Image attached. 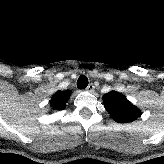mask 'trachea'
Returning <instances> with one entry per match:
<instances>
[{
	"mask_svg": "<svg viewBox=\"0 0 164 164\" xmlns=\"http://www.w3.org/2000/svg\"><path fill=\"white\" fill-rule=\"evenodd\" d=\"M88 85V78L85 75H81L77 80V87L79 89H84Z\"/></svg>",
	"mask_w": 164,
	"mask_h": 164,
	"instance_id": "trachea-1",
	"label": "trachea"
}]
</instances>
